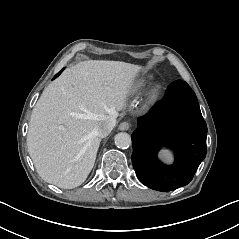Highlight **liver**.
Segmentation results:
<instances>
[{
    "label": "liver",
    "mask_w": 239,
    "mask_h": 239,
    "mask_svg": "<svg viewBox=\"0 0 239 239\" xmlns=\"http://www.w3.org/2000/svg\"><path fill=\"white\" fill-rule=\"evenodd\" d=\"M140 69L88 60L66 68L45 88L27 134L28 152L44 181L73 189L86 180L101 142L97 130L126 106Z\"/></svg>",
    "instance_id": "6515ba94"
}]
</instances>
